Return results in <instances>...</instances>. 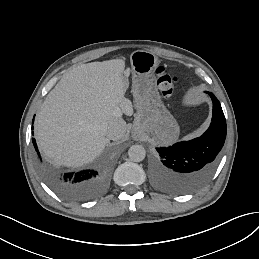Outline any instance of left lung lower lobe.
Wrapping results in <instances>:
<instances>
[{"mask_svg": "<svg viewBox=\"0 0 259 259\" xmlns=\"http://www.w3.org/2000/svg\"><path fill=\"white\" fill-rule=\"evenodd\" d=\"M212 122L200 137L170 147L156 148L151 173L156 185L172 193L190 191L204 183L217 167L226 138V120L220 102L212 94Z\"/></svg>", "mask_w": 259, "mask_h": 259, "instance_id": "obj_1", "label": "left lung lower lobe"}]
</instances>
